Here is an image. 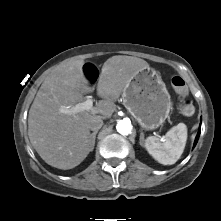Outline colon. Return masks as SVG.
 Wrapping results in <instances>:
<instances>
[{
  "mask_svg": "<svg viewBox=\"0 0 221 221\" xmlns=\"http://www.w3.org/2000/svg\"><path fill=\"white\" fill-rule=\"evenodd\" d=\"M84 72H85L87 78L90 80H94L98 76L96 69L91 65L86 66L84 69ZM171 85H172L173 89L175 90V92L178 93L179 95L186 94L187 87H186V83L182 77L174 76L171 79ZM194 111H195V108L190 101H186L180 106V112L184 116H191V115H193Z\"/></svg>",
  "mask_w": 221,
  "mask_h": 221,
  "instance_id": "5ec220e1",
  "label": "colon"
}]
</instances>
